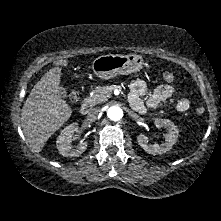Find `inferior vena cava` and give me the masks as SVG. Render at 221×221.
<instances>
[{
	"label": "inferior vena cava",
	"instance_id": "obj_1",
	"mask_svg": "<svg viewBox=\"0 0 221 221\" xmlns=\"http://www.w3.org/2000/svg\"><path fill=\"white\" fill-rule=\"evenodd\" d=\"M100 114V109L99 108H93L92 110L89 111L87 115V121L89 122H94Z\"/></svg>",
	"mask_w": 221,
	"mask_h": 221
}]
</instances>
